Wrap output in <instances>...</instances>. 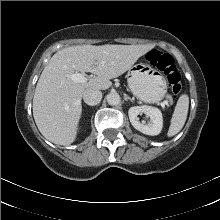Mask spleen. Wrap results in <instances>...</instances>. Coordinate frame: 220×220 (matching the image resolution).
Segmentation results:
<instances>
[{
  "label": "spleen",
  "instance_id": "3e777b00",
  "mask_svg": "<svg viewBox=\"0 0 220 220\" xmlns=\"http://www.w3.org/2000/svg\"><path fill=\"white\" fill-rule=\"evenodd\" d=\"M188 108L189 97L187 94H182L177 101L171 118V123L167 132L168 137H173L181 131L187 119Z\"/></svg>",
  "mask_w": 220,
  "mask_h": 220
}]
</instances>
